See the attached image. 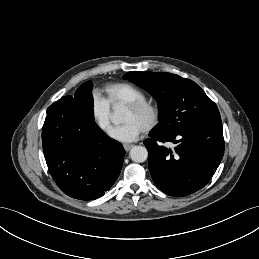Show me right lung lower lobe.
<instances>
[{
    "instance_id": "98d812e1",
    "label": "right lung lower lobe",
    "mask_w": 259,
    "mask_h": 259,
    "mask_svg": "<svg viewBox=\"0 0 259 259\" xmlns=\"http://www.w3.org/2000/svg\"><path fill=\"white\" fill-rule=\"evenodd\" d=\"M42 130L43 150L49 172L70 197L97 199L120 174L125 155L121 143L86 119L71 96L47 109Z\"/></svg>"
}]
</instances>
